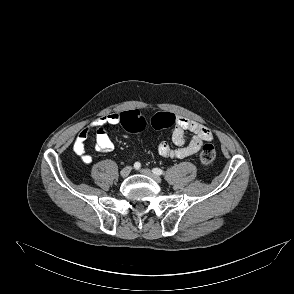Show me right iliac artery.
Listing matches in <instances>:
<instances>
[{
    "label": "right iliac artery",
    "mask_w": 294,
    "mask_h": 294,
    "mask_svg": "<svg viewBox=\"0 0 294 294\" xmlns=\"http://www.w3.org/2000/svg\"><path fill=\"white\" fill-rule=\"evenodd\" d=\"M140 166H141V164L139 162H135V164H134V168L135 169H139Z\"/></svg>",
    "instance_id": "1"
}]
</instances>
